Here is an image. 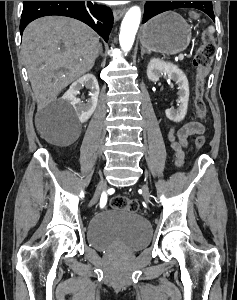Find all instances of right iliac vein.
<instances>
[{
  "instance_id": "63e3f726",
  "label": "right iliac vein",
  "mask_w": 237,
  "mask_h": 300,
  "mask_svg": "<svg viewBox=\"0 0 237 300\" xmlns=\"http://www.w3.org/2000/svg\"><path fill=\"white\" fill-rule=\"evenodd\" d=\"M103 186H104V183L101 181V182L99 183V185L97 186V192H98V193H100L101 187H103Z\"/></svg>"
}]
</instances>
